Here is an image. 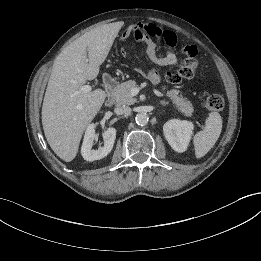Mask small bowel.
Listing matches in <instances>:
<instances>
[{
	"instance_id": "c3829d8e",
	"label": "small bowel",
	"mask_w": 261,
	"mask_h": 261,
	"mask_svg": "<svg viewBox=\"0 0 261 261\" xmlns=\"http://www.w3.org/2000/svg\"><path fill=\"white\" fill-rule=\"evenodd\" d=\"M142 23H139L135 25V32L131 34L137 42L145 45L146 47V54L148 59L155 65L157 66H176L179 65V69L176 71H168L167 73L170 75V78L166 79L169 82L172 83H178L182 79H190L192 78L197 70V61H196V55H197V49L195 46L188 45L184 46L181 49L182 54L184 55L183 59H179L178 56L174 53L173 49H175L177 45V38L176 42L174 44H169L167 42V37L169 35H175L172 31L164 30L160 27L159 28V33L157 35H144L140 34L138 32V27ZM151 24V23H150ZM152 26H156L154 24H151ZM130 36V37H131ZM155 39H163L167 46L170 48V50L164 55V56H159L157 54V43ZM166 73V74H167ZM148 78L151 82L153 83H158L160 80V76L156 70H150L148 72Z\"/></svg>"
}]
</instances>
